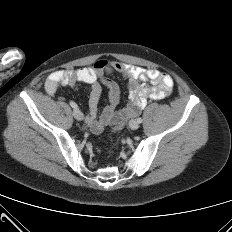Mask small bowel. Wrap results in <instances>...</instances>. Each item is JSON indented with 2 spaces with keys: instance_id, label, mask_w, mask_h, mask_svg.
Listing matches in <instances>:
<instances>
[{
  "instance_id": "1",
  "label": "small bowel",
  "mask_w": 232,
  "mask_h": 232,
  "mask_svg": "<svg viewBox=\"0 0 232 232\" xmlns=\"http://www.w3.org/2000/svg\"><path fill=\"white\" fill-rule=\"evenodd\" d=\"M111 73L121 76L127 84L129 102L120 111L116 110L120 90L117 83L108 77ZM82 83L91 88L86 124L93 133H100L109 124L116 125L121 122L120 117L123 115H128V119L135 117L148 100L168 97L174 86L173 78L158 69L99 59L93 65L81 69L52 72L46 80L45 89L53 95L59 87L76 89ZM102 85L109 90L110 103L99 115L97 108Z\"/></svg>"
}]
</instances>
